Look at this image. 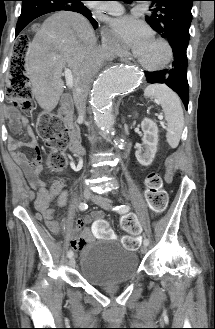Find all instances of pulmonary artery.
<instances>
[{"label":"pulmonary artery","instance_id":"obj_1","mask_svg":"<svg viewBox=\"0 0 215 329\" xmlns=\"http://www.w3.org/2000/svg\"><path fill=\"white\" fill-rule=\"evenodd\" d=\"M94 7L112 15H120L124 12L123 6L119 3L94 4Z\"/></svg>","mask_w":215,"mask_h":329}]
</instances>
